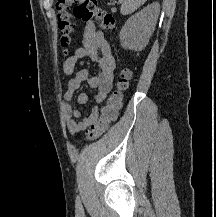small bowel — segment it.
<instances>
[{
    "label": "small bowel",
    "mask_w": 216,
    "mask_h": 217,
    "mask_svg": "<svg viewBox=\"0 0 216 217\" xmlns=\"http://www.w3.org/2000/svg\"><path fill=\"white\" fill-rule=\"evenodd\" d=\"M80 43L81 46L63 63V71L66 75L75 74L68 82L62 103L63 120L70 135L86 130L98 118L99 106L112 89L116 67L115 57L109 41L102 32L95 28L92 22L86 23L80 36ZM86 57L91 58L99 65V74L91 76L87 69L75 72L77 63ZM83 82H87L91 88L96 89L95 105L87 117H82L81 112L72 104L74 93ZM87 101L88 96L86 93L80 92L76 95L78 104H85Z\"/></svg>",
    "instance_id": "c3829d8e"
}]
</instances>
